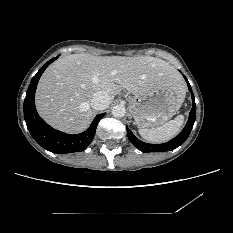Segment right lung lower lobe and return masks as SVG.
Wrapping results in <instances>:
<instances>
[{"label":"right lung lower lobe","mask_w":233,"mask_h":233,"mask_svg":"<svg viewBox=\"0 0 233 233\" xmlns=\"http://www.w3.org/2000/svg\"><path fill=\"white\" fill-rule=\"evenodd\" d=\"M56 59L57 57L45 63L32 78L24 100V119L31 136L44 149L58 154L84 151L93 140L96 127L105 113L97 115L85 132L68 135L46 124L35 108V91L38 81L45 69Z\"/></svg>","instance_id":"obj_1"}]
</instances>
